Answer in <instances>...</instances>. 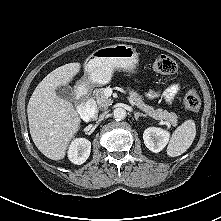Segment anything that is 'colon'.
Listing matches in <instances>:
<instances>
[{"instance_id": "colon-1", "label": "colon", "mask_w": 221, "mask_h": 221, "mask_svg": "<svg viewBox=\"0 0 221 221\" xmlns=\"http://www.w3.org/2000/svg\"><path fill=\"white\" fill-rule=\"evenodd\" d=\"M153 67L155 71L164 75L174 74L177 70L176 62L167 55H158ZM184 107L190 112H197L201 107V98L196 90H188L183 97Z\"/></svg>"}]
</instances>
